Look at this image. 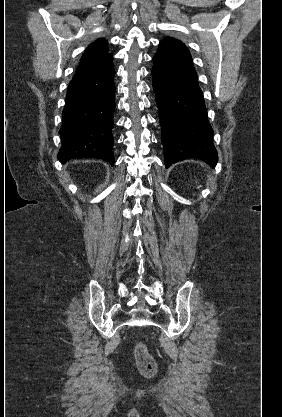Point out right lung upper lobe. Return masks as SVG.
Listing matches in <instances>:
<instances>
[{
    "label": "right lung upper lobe",
    "mask_w": 282,
    "mask_h": 417,
    "mask_svg": "<svg viewBox=\"0 0 282 417\" xmlns=\"http://www.w3.org/2000/svg\"><path fill=\"white\" fill-rule=\"evenodd\" d=\"M112 59L113 57L109 53L107 41L98 39L85 50L76 72L89 69Z\"/></svg>",
    "instance_id": "1"
}]
</instances>
